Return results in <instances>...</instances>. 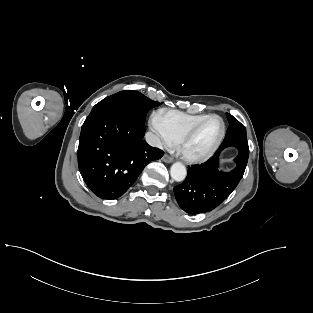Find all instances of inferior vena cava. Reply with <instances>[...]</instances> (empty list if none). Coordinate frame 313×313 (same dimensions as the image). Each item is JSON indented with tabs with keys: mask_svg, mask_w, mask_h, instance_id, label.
Returning <instances> with one entry per match:
<instances>
[{
	"mask_svg": "<svg viewBox=\"0 0 313 313\" xmlns=\"http://www.w3.org/2000/svg\"><path fill=\"white\" fill-rule=\"evenodd\" d=\"M145 139L149 145L157 148H162V143L160 139L154 133L147 132L145 134Z\"/></svg>",
	"mask_w": 313,
	"mask_h": 313,
	"instance_id": "obj_1",
	"label": "inferior vena cava"
}]
</instances>
